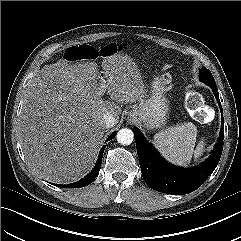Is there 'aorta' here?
<instances>
[{
  "instance_id": "762f6f07",
  "label": "aorta",
  "mask_w": 241,
  "mask_h": 241,
  "mask_svg": "<svg viewBox=\"0 0 241 241\" xmlns=\"http://www.w3.org/2000/svg\"><path fill=\"white\" fill-rule=\"evenodd\" d=\"M118 143L122 145H130L133 142L134 134L131 129H120L116 135Z\"/></svg>"
}]
</instances>
